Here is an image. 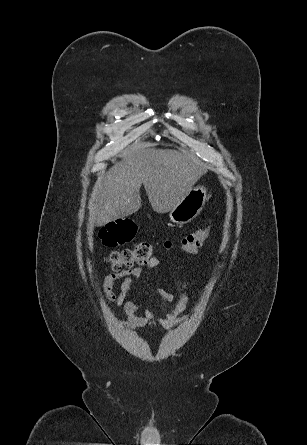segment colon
<instances>
[{"label":"colon","mask_w":307,"mask_h":445,"mask_svg":"<svg viewBox=\"0 0 307 445\" xmlns=\"http://www.w3.org/2000/svg\"><path fill=\"white\" fill-rule=\"evenodd\" d=\"M211 226L188 233L181 241V249L186 253L197 251L208 239ZM137 233L136 223L129 218L118 219L106 224L99 233L102 243L107 247H117L130 242ZM164 248L170 249L171 241L163 243ZM154 247L150 243L142 242L132 248L116 250L109 253L106 260L114 270L132 268L135 265H146L152 259Z\"/></svg>","instance_id":"5ec220e1"}]
</instances>
